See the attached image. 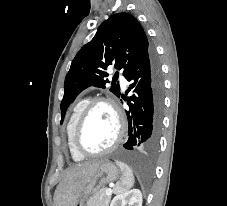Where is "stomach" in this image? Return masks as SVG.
Wrapping results in <instances>:
<instances>
[{
	"instance_id": "obj_1",
	"label": "stomach",
	"mask_w": 227,
	"mask_h": 206,
	"mask_svg": "<svg viewBox=\"0 0 227 206\" xmlns=\"http://www.w3.org/2000/svg\"><path fill=\"white\" fill-rule=\"evenodd\" d=\"M120 174V170L114 163L107 160L103 161L95 174L80 191L74 206H84L85 200L89 195L93 194L106 184L116 181L120 177Z\"/></svg>"
}]
</instances>
